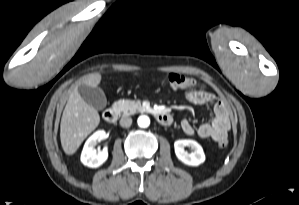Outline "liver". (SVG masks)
I'll list each match as a JSON object with an SVG mask.
<instances>
[{"label":"liver","instance_id":"6515ba94","mask_svg":"<svg viewBox=\"0 0 299 205\" xmlns=\"http://www.w3.org/2000/svg\"><path fill=\"white\" fill-rule=\"evenodd\" d=\"M100 82V73L88 74L82 80L83 84L90 87H97ZM99 122L97 110L81 98L76 86L68 98L60 123V140L64 152L67 155L74 154Z\"/></svg>","mask_w":299,"mask_h":205}]
</instances>
